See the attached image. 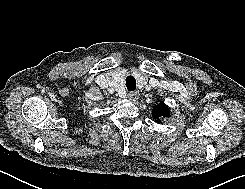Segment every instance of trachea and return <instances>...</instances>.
<instances>
[{"label": "trachea", "mask_w": 245, "mask_h": 189, "mask_svg": "<svg viewBox=\"0 0 245 189\" xmlns=\"http://www.w3.org/2000/svg\"><path fill=\"white\" fill-rule=\"evenodd\" d=\"M126 87L129 91H134L136 89V80L133 76H128L126 78Z\"/></svg>", "instance_id": "obj_1"}]
</instances>
